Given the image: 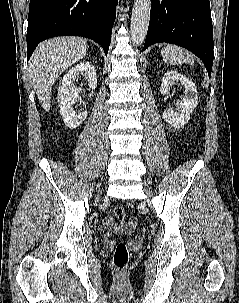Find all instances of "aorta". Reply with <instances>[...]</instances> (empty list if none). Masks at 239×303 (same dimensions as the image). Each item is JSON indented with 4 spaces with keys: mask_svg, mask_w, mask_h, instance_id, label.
Segmentation results:
<instances>
[{
    "mask_svg": "<svg viewBox=\"0 0 239 303\" xmlns=\"http://www.w3.org/2000/svg\"><path fill=\"white\" fill-rule=\"evenodd\" d=\"M151 0H135L132 9L130 34L135 45L145 40L150 20Z\"/></svg>",
    "mask_w": 239,
    "mask_h": 303,
    "instance_id": "1",
    "label": "aorta"
}]
</instances>
